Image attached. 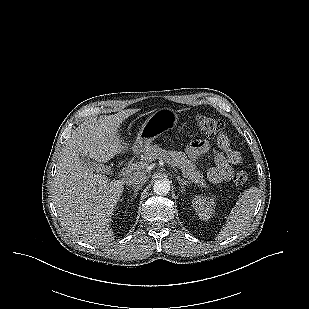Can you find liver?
<instances>
[{"label": "liver", "instance_id": "6515ba94", "mask_svg": "<svg viewBox=\"0 0 309 309\" xmlns=\"http://www.w3.org/2000/svg\"><path fill=\"white\" fill-rule=\"evenodd\" d=\"M138 109L90 118L79 125L63 148L53 184V202L65 229L83 242L104 245L114 240L112 214L122 195L125 178L110 180L95 174L80 158L108 162L128 151L121 140L122 122ZM131 172L127 173V176Z\"/></svg>", "mask_w": 309, "mask_h": 309}]
</instances>
